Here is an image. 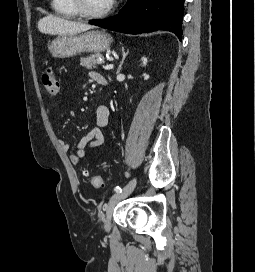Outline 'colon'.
I'll list each match as a JSON object with an SVG mask.
<instances>
[{"mask_svg": "<svg viewBox=\"0 0 255 272\" xmlns=\"http://www.w3.org/2000/svg\"><path fill=\"white\" fill-rule=\"evenodd\" d=\"M42 85L45 91L50 95H57L60 90V82L53 68H48L42 74ZM90 184L95 188L104 185L103 178L99 175L87 174Z\"/></svg>", "mask_w": 255, "mask_h": 272, "instance_id": "obj_1", "label": "colon"}]
</instances>
